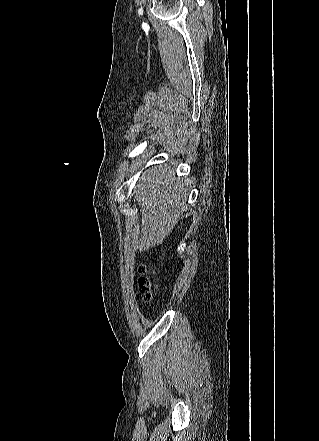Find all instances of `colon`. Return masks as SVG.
Wrapping results in <instances>:
<instances>
[{
    "instance_id": "obj_1",
    "label": "colon",
    "mask_w": 319,
    "mask_h": 441,
    "mask_svg": "<svg viewBox=\"0 0 319 441\" xmlns=\"http://www.w3.org/2000/svg\"><path fill=\"white\" fill-rule=\"evenodd\" d=\"M140 276L138 278V288L140 293L142 294L143 299L146 302H150L152 299V289L155 287V284L148 278L147 273L148 270L144 265L139 267Z\"/></svg>"
}]
</instances>
